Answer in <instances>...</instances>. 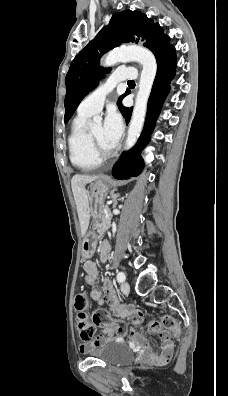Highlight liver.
<instances>
[{
  "label": "liver",
  "instance_id": "liver-1",
  "mask_svg": "<svg viewBox=\"0 0 228 396\" xmlns=\"http://www.w3.org/2000/svg\"><path fill=\"white\" fill-rule=\"evenodd\" d=\"M97 177L96 176H87V175H74L71 179V187L73 196L75 199L77 213L81 226V234L85 235L90 218V209H89V198L88 193L85 189V185L93 182Z\"/></svg>",
  "mask_w": 228,
  "mask_h": 396
}]
</instances>
